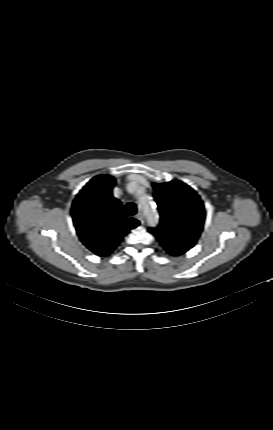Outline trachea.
I'll return each instance as SVG.
<instances>
[{"instance_id":"3493384b","label":"trachea","mask_w":273,"mask_h":430,"mask_svg":"<svg viewBox=\"0 0 273 430\" xmlns=\"http://www.w3.org/2000/svg\"><path fill=\"white\" fill-rule=\"evenodd\" d=\"M125 211L127 216H133L137 212V207L134 203L129 202L126 204Z\"/></svg>"}]
</instances>
